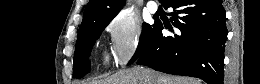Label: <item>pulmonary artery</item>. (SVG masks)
<instances>
[{
	"instance_id": "e3ab8cb5",
	"label": "pulmonary artery",
	"mask_w": 260,
	"mask_h": 84,
	"mask_svg": "<svg viewBox=\"0 0 260 84\" xmlns=\"http://www.w3.org/2000/svg\"><path fill=\"white\" fill-rule=\"evenodd\" d=\"M147 9H148L149 12H151V13H156L157 10H158V5H157V3L154 2V1H149V2L147 3Z\"/></svg>"
}]
</instances>
